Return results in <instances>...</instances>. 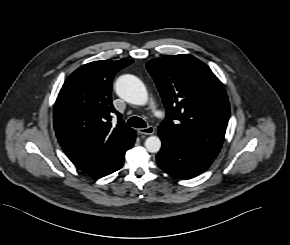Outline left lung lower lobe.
Segmentation results:
<instances>
[{"label":"left lung lower lobe","mask_w":290,"mask_h":245,"mask_svg":"<svg viewBox=\"0 0 290 245\" xmlns=\"http://www.w3.org/2000/svg\"><path fill=\"white\" fill-rule=\"evenodd\" d=\"M158 133L162 140V148L156 156L158 166L176 178L190 179L199 175L217 156L178 142L161 130Z\"/></svg>","instance_id":"obj_1"}]
</instances>
